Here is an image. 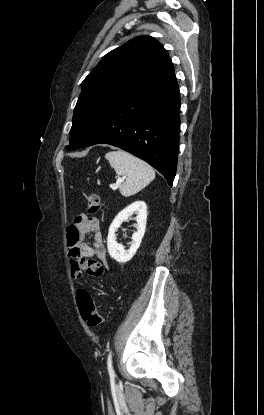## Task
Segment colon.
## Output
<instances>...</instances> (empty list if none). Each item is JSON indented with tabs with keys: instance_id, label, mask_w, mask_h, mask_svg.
<instances>
[{
	"instance_id": "obj_1",
	"label": "colon",
	"mask_w": 264,
	"mask_h": 415,
	"mask_svg": "<svg viewBox=\"0 0 264 415\" xmlns=\"http://www.w3.org/2000/svg\"><path fill=\"white\" fill-rule=\"evenodd\" d=\"M87 210L89 215L97 214L101 209L100 197L96 193L86 195ZM73 270L83 272L92 277H99L103 273V266L94 259H82L72 263ZM76 305L82 319L90 327H98L102 323V316L91 295L85 289H79L76 293Z\"/></svg>"
}]
</instances>
